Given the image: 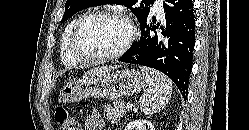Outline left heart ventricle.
Listing matches in <instances>:
<instances>
[{"mask_svg":"<svg viewBox=\"0 0 249 130\" xmlns=\"http://www.w3.org/2000/svg\"><path fill=\"white\" fill-rule=\"evenodd\" d=\"M129 35L125 20L112 16H95L81 27L76 46L80 53L105 55L119 49Z\"/></svg>","mask_w":249,"mask_h":130,"instance_id":"obj_1","label":"left heart ventricle"}]
</instances>
